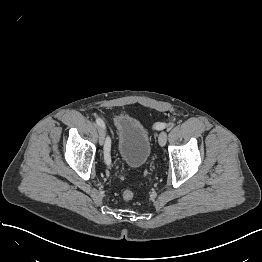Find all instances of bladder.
<instances>
[{"mask_svg":"<svg viewBox=\"0 0 262 262\" xmlns=\"http://www.w3.org/2000/svg\"><path fill=\"white\" fill-rule=\"evenodd\" d=\"M117 151L128 167L140 168L150 157L151 140L143 124L130 115H120L115 120Z\"/></svg>","mask_w":262,"mask_h":262,"instance_id":"bladder-1","label":"bladder"}]
</instances>
